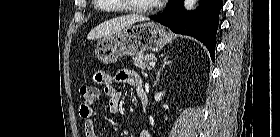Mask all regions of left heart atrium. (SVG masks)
Masks as SVG:
<instances>
[{
    "mask_svg": "<svg viewBox=\"0 0 280 137\" xmlns=\"http://www.w3.org/2000/svg\"><path fill=\"white\" fill-rule=\"evenodd\" d=\"M156 1V3H165V2H167L168 0H155Z\"/></svg>",
    "mask_w": 280,
    "mask_h": 137,
    "instance_id": "39dd6f15",
    "label": "left heart atrium"
}]
</instances>
